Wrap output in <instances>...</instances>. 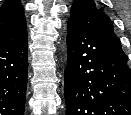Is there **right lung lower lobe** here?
Wrapping results in <instances>:
<instances>
[{
    "mask_svg": "<svg viewBox=\"0 0 131 115\" xmlns=\"http://www.w3.org/2000/svg\"><path fill=\"white\" fill-rule=\"evenodd\" d=\"M27 35L0 48V115H23L27 87Z\"/></svg>",
    "mask_w": 131,
    "mask_h": 115,
    "instance_id": "right-lung-lower-lobe-1",
    "label": "right lung lower lobe"
}]
</instances>
